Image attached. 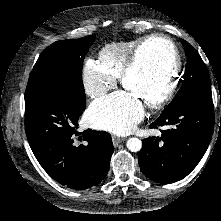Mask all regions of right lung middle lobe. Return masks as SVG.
I'll return each instance as SVG.
<instances>
[{"mask_svg": "<svg viewBox=\"0 0 221 221\" xmlns=\"http://www.w3.org/2000/svg\"><path fill=\"white\" fill-rule=\"evenodd\" d=\"M95 35L54 42L39 56L28 80L25 103L36 99L53 85L63 84L82 98L85 92L82 67Z\"/></svg>", "mask_w": 221, "mask_h": 221, "instance_id": "right-lung-middle-lobe-1", "label": "right lung middle lobe"}]
</instances>
